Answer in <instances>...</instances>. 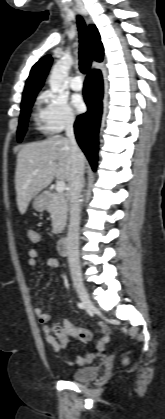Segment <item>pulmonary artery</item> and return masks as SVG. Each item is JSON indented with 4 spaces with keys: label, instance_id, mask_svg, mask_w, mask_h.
Here are the masks:
<instances>
[{
    "label": "pulmonary artery",
    "instance_id": "obj_1",
    "mask_svg": "<svg viewBox=\"0 0 165 419\" xmlns=\"http://www.w3.org/2000/svg\"><path fill=\"white\" fill-rule=\"evenodd\" d=\"M70 86L73 90H81L83 87L82 78L79 75L74 76L71 79Z\"/></svg>",
    "mask_w": 165,
    "mask_h": 419
}]
</instances>
